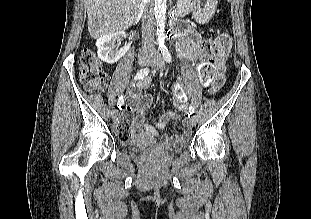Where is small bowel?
<instances>
[{
  "mask_svg": "<svg viewBox=\"0 0 311 219\" xmlns=\"http://www.w3.org/2000/svg\"><path fill=\"white\" fill-rule=\"evenodd\" d=\"M185 11V10H183ZM180 56L184 60L195 62L200 58V38L192 31H185L179 40ZM224 79L217 75L209 83V92L211 94L219 91L223 85ZM151 79L143 77L129 90V105L123 112L118 126L120 128V135H131L140 132V135L146 139H152L158 136L159 131L166 130L171 122L178 121L180 116L176 112H166L157 115L151 123L145 121L146 111L153 103L151 95H141V91L149 87ZM176 97L179 100L185 99L183 88L180 84L175 88ZM185 110L186 108L183 107ZM127 127V130H124ZM189 133L184 130L180 136H169V141L183 143L187 140Z\"/></svg>",
  "mask_w": 311,
  "mask_h": 219,
  "instance_id": "small-bowel-1",
  "label": "small bowel"
}]
</instances>
